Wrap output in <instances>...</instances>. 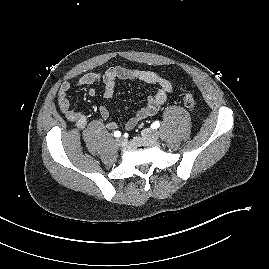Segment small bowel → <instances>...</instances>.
Listing matches in <instances>:
<instances>
[{
  "label": "small bowel",
  "instance_id": "1",
  "mask_svg": "<svg viewBox=\"0 0 269 269\" xmlns=\"http://www.w3.org/2000/svg\"><path fill=\"white\" fill-rule=\"evenodd\" d=\"M118 80L139 81L144 84L153 85L157 88L155 94L149 97L147 104L126 121L124 124V129L126 130L133 129L140 120L155 115L165 103L167 96L174 90V87L169 80L153 71L124 66L110 67L104 72L86 73L77 81V86L102 83L104 86V97L110 99L114 95L115 85ZM70 89L71 84L69 82L65 81L61 84L58 92V106L65 117L69 121L75 123L78 129L82 130L87 124V117L81 110L71 106L68 98ZM88 94L93 97L96 95V90L91 88L89 89ZM98 111L100 117L106 121V127L109 130L118 128V123L110 120L109 110L105 106H101Z\"/></svg>",
  "mask_w": 269,
  "mask_h": 269
}]
</instances>
